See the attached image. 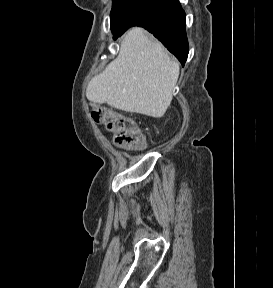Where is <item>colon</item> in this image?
Here are the masks:
<instances>
[{"label":"colon","instance_id":"colon-1","mask_svg":"<svg viewBox=\"0 0 273 288\" xmlns=\"http://www.w3.org/2000/svg\"><path fill=\"white\" fill-rule=\"evenodd\" d=\"M91 117L96 123L106 126L116 145L127 149L144 147L145 136L131 117L101 105L93 106Z\"/></svg>","mask_w":273,"mask_h":288}]
</instances>
